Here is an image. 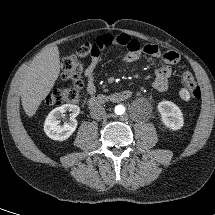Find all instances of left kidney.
Returning a JSON list of instances; mask_svg holds the SVG:
<instances>
[{
	"instance_id": "1",
	"label": "left kidney",
	"mask_w": 215,
	"mask_h": 215,
	"mask_svg": "<svg viewBox=\"0 0 215 215\" xmlns=\"http://www.w3.org/2000/svg\"><path fill=\"white\" fill-rule=\"evenodd\" d=\"M157 107L161 114V121L167 128L176 131L183 127V114L175 103L171 101H162Z\"/></svg>"
}]
</instances>
